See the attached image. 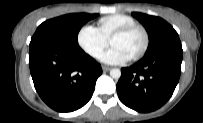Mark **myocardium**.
<instances>
[{
	"label": "myocardium",
	"instance_id": "myocardium-1",
	"mask_svg": "<svg viewBox=\"0 0 203 123\" xmlns=\"http://www.w3.org/2000/svg\"><path fill=\"white\" fill-rule=\"evenodd\" d=\"M135 30H140L142 32L143 37H144V43H143V46L140 49V51L138 53H136L134 56L130 57V60H138L141 57H143L145 55V53L147 52L148 47H149V42H150L149 34H148L147 30L142 25L134 24V25H129V26L118 29L110 37V43H111L115 37L127 35L130 32L135 31Z\"/></svg>",
	"mask_w": 203,
	"mask_h": 123
}]
</instances>
